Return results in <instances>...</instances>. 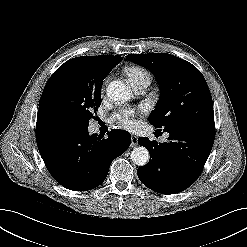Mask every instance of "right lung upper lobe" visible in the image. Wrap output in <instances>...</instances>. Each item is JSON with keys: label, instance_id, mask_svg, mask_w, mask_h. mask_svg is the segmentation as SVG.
<instances>
[{"label": "right lung upper lobe", "instance_id": "obj_1", "mask_svg": "<svg viewBox=\"0 0 247 247\" xmlns=\"http://www.w3.org/2000/svg\"><path fill=\"white\" fill-rule=\"evenodd\" d=\"M78 58L94 72L103 77H106L109 72L122 61L120 56L114 55L81 56Z\"/></svg>", "mask_w": 247, "mask_h": 247}]
</instances>
